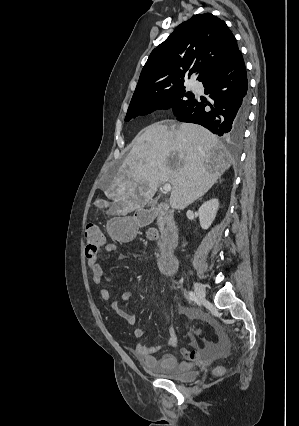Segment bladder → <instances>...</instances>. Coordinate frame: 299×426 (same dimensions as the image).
<instances>
[{
	"mask_svg": "<svg viewBox=\"0 0 299 426\" xmlns=\"http://www.w3.org/2000/svg\"><path fill=\"white\" fill-rule=\"evenodd\" d=\"M146 370L150 374L157 375L176 382H191L197 377V372L193 369H159L146 367Z\"/></svg>",
	"mask_w": 299,
	"mask_h": 426,
	"instance_id": "1",
	"label": "bladder"
}]
</instances>
